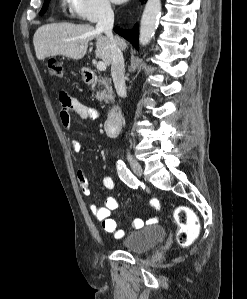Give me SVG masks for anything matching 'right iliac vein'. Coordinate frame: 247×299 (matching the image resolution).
<instances>
[{
  "mask_svg": "<svg viewBox=\"0 0 247 299\" xmlns=\"http://www.w3.org/2000/svg\"><path fill=\"white\" fill-rule=\"evenodd\" d=\"M128 161L130 163V166H131L133 172L135 174H137L138 176H141L143 173V169H142V166L140 165V163L131 156H128Z\"/></svg>",
  "mask_w": 247,
  "mask_h": 299,
  "instance_id": "obj_1",
  "label": "right iliac vein"
}]
</instances>
